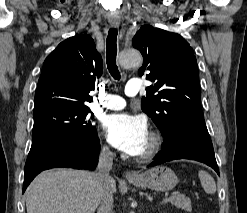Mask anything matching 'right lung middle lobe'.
Wrapping results in <instances>:
<instances>
[{
  "mask_svg": "<svg viewBox=\"0 0 247 213\" xmlns=\"http://www.w3.org/2000/svg\"><path fill=\"white\" fill-rule=\"evenodd\" d=\"M90 109L66 104H55L34 111L32 145L42 140L74 133L82 142L92 144L98 136L91 124ZM93 115H91V118Z\"/></svg>",
  "mask_w": 247,
  "mask_h": 213,
  "instance_id": "dd1d6c3e",
  "label": "right lung middle lobe"
}]
</instances>
